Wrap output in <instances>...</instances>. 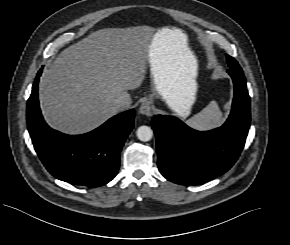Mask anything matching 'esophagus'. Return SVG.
<instances>
[{
    "instance_id": "esophagus-1",
    "label": "esophagus",
    "mask_w": 290,
    "mask_h": 245,
    "mask_svg": "<svg viewBox=\"0 0 290 245\" xmlns=\"http://www.w3.org/2000/svg\"><path fill=\"white\" fill-rule=\"evenodd\" d=\"M140 114L145 116H151L153 114V105L151 101L146 100L144 101L139 109Z\"/></svg>"
}]
</instances>
